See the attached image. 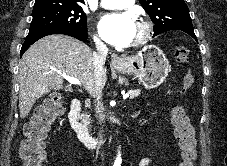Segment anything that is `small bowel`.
Here are the masks:
<instances>
[{
  "mask_svg": "<svg viewBox=\"0 0 227 166\" xmlns=\"http://www.w3.org/2000/svg\"><path fill=\"white\" fill-rule=\"evenodd\" d=\"M62 156H63V158H65L66 160H68V159L70 158L69 155H68L67 153H63ZM149 164H150V160L147 159V158H144V159H142V160L139 162L138 166H148Z\"/></svg>",
  "mask_w": 227,
  "mask_h": 166,
  "instance_id": "small-bowel-1",
  "label": "small bowel"
}]
</instances>
